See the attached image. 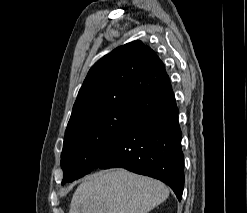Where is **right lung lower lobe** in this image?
<instances>
[{"instance_id":"1","label":"right lung lower lobe","mask_w":247,"mask_h":213,"mask_svg":"<svg viewBox=\"0 0 247 213\" xmlns=\"http://www.w3.org/2000/svg\"><path fill=\"white\" fill-rule=\"evenodd\" d=\"M130 114L99 153L94 168H125L161 180L178 200L184 187V156L178 108L170 82L130 100Z\"/></svg>"}]
</instances>
